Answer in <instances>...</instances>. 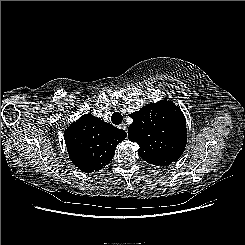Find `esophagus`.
Instances as JSON below:
<instances>
[{"instance_id": "esophagus-1", "label": "esophagus", "mask_w": 245, "mask_h": 245, "mask_svg": "<svg viewBox=\"0 0 245 245\" xmlns=\"http://www.w3.org/2000/svg\"><path fill=\"white\" fill-rule=\"evenodd\" d=\"M120 128H122L123 130L127 131V126H126L125 123H122V124L120 125Z\"/></svg>"}]
</instances>
